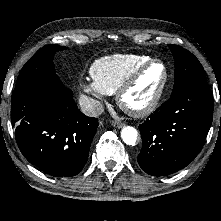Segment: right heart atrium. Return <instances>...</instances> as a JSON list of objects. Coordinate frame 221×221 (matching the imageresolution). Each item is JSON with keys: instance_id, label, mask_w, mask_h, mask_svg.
<instances>
[{"instance_id": "right-heart-atrium-1", "label": "right heart atrium", "mask_w": 221, "mask_h": 221, "mask_svg": "<svg viewBox=\"0 0 221 221\" xmlns=\"http://www.w3.org/2000/svg\"><path fill=\"white\" fill-rule=\"evenodd\" d=\"M80 87L84 93L91 97V102L88 105L89 110H94L104 101L106 94L93 81L81 82Z\"/></svg>"}]
</instances>
